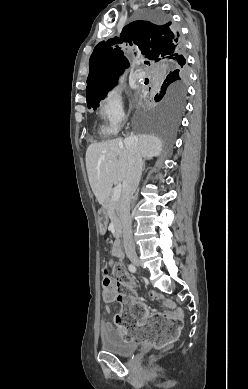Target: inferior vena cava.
Wrapping results in <instances>:
<instances>
[{"label":"inferior vena cava","instance_id":"1","mask_svg":"<svg viewBox=\"0 0 248 389\" xmlns=\"http://www.w3.org/2000/svg\"><path fill=\"white\" fill-rule=\"evenodd\" d=\"M124 143L128 151V170L123 180V192L120 199V220L123 230L124 249L126 252H134L135 244L132 235L130 204L140 182L143 160L137 142L133 137H127Z\"/></svg>","mask_w":248,"mask_h":389}]
</instances>
